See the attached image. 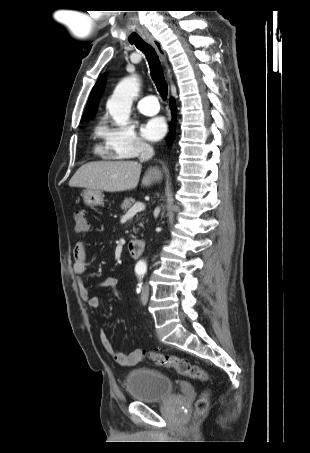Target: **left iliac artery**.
Here are the masks:
<instances>
[{
    "label": "left iliac artery",
    "mask_w": 310,
    "mask_h": 453,
    "mask_svg": "<svg viewBox=\"0 0 310 453\" xmlns=\"http://www.w3.org/2000/svg\"><path fill=\"white\" fill-rule=\"evenodd\" d=\"M141 284H139V288L137 289L138 292H140Z\"/></svg>",
    "instance_id": "44dca946"
}]
</instances>
